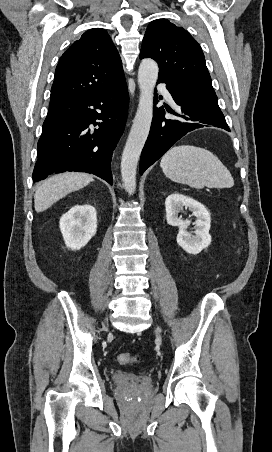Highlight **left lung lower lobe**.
Instances as JSON below:
<instances>
[{
    "label": "left lung lower lobe",
    "instance_id": "obj_1",
    "mask_svg": "<svg viewBox=\"0 0 272 452\" xmlns=\"http://www.w3.org/2000/svg\"><path fill=\"white\" fill-rule=\"evenodd\" d=\"M157 83H166L168 91L177 104L175 109L169 106L156 108L149 136L142 150L140 174L158 160L176 141L188 132L214 126L230 131L221 112L216 94L180 84L171 79H158ZM158 100L155 98L154 103ZM175 118L166 119L165 112Z\"/></svg>",
    "mask_w": 272,
    "mask_h": 452
}]
</instances>
